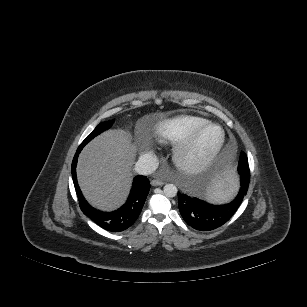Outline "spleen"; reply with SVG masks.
<instances>
[{
    "label": "spleen",
    "instance_id": "spleen-1",
    "mask_svg": "<svg viewBox=\"0 0 307 307\" xmlns=\"http://www.w3.org/2000/svg\"><path fill=\"white\" fill-rule=\"evenodd\" d=\"M203 195L206 201L211 205H226L231 201L234 195L233 183L229 178L223 175L211 176L204 183Z\"/></svg>",
    "mask_w": 307,
    "mask_h": 307
}]
</instances>
